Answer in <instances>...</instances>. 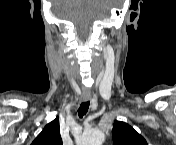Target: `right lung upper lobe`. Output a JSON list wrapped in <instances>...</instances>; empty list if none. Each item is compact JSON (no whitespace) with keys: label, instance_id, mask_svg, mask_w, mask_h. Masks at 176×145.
Instances as JSON below:
<instances>
[{"label":"right lung upper lobe","instance_id":"obj_1","mask_svg":"<svg viewBox=\"0 0 176 145\" xmlns=\"http://www.w3.org/2000/svg\"><path fill=\"white\" fill-rule=\"evenodd\" d=\"M31 145H62L59 117L47 124Z\"/></svg>","mask_w":176,"mask_h":145}]
</instances>
